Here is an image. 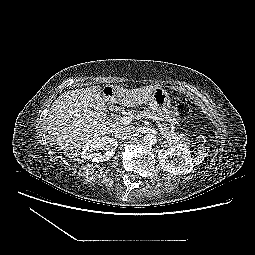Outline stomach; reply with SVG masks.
I'll return each instance as SVG.
<instances>
[{
	"label": "stomach",
	"instance_id": "stomach-1",
	"mask_svg": "<svg viewBox=\"0 0 255 255\" xmlns=\"http://www.w3.org/2000/svg\"><path fill=\"white\" fill-rule=\"evenodd\" d=\"M111 93H106L103 91L105 96L112 95ZM149 108L155 113L156 116L161 118L163 121L167 122L171 126L178 124V119L175 117V114L171 107V99L166 90L161 87H155L151 93L150 98L147 101Z\"/></svg>",
	"mask_w": 255,
	"mask_h": 255
}]
</instances>
